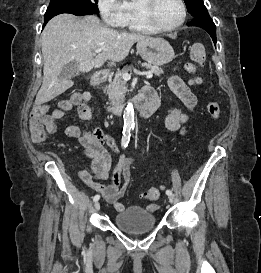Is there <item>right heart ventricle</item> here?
<instances>
[{
    "label": "right heart ventricle",
    "instance_id": "obj_1",
    "mask_svg": "<svg viewBox=\"0 0 261 273\" xmlns=\"http://www.w3.org/2000/svg\"><path fill=\"white\" fill-rule=\"evenodd\" d=\"M144 0H124L118 27L136 33L151 34L155 31L147 24L143 11Z\"/></svg>",
    "mask_w": 261,
    "mask_h": 273
}]
</instances>
